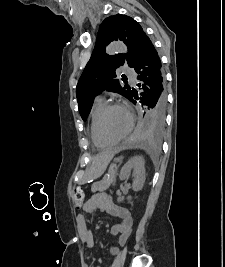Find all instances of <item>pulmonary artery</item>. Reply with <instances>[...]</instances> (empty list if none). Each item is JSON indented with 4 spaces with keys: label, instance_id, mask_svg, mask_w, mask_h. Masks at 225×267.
Segmentation results:
<instances>
[{
    "label": "pulmonary artery",
    "instance_id": "1",
    "mask_svg": "<svg viewBox=\"0 0 225 267\" xmlns=\"http://www.w3.org/2000/svg\"><path fill=\"white\" fill-rule=\"evenodd\" d=\"M124 73L131 79L132 82H135L136 72L133 69H131L129 67H125ZM98 99H100V98H98Z\"/></svg>",
    "mask_w": 225,
    "mask_h": 267
}]
</instances>
